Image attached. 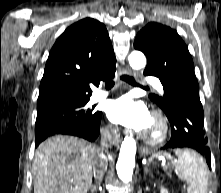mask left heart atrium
Here are the masks:
<instances>
[{
  "instance_id": "1",
  "label": "left heart atrium",
  "mask_w": 221,
  "mask_h": 193,
  "mask_svg": "<svg viewBox=\"0 0 221 193\" xmlns=\"http://www.w3.org/2000/svg\"><path fill=\"white\" fill-rule=\"evenodd\" d=\"M106 114L112 122L136 130H142L151 116L143 102L128 94L110 100Z\"/></svg>"
}]
</instances>
